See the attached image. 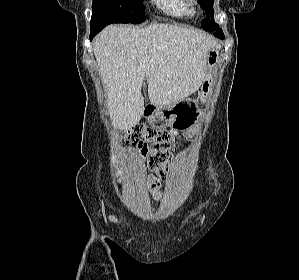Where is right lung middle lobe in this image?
Instances as JSON below:
<instances>
[{"instance_id": "right-lung-middle-lobe-1", "label": "right lung middle lobe", "mask_w": 299, "mask_h": 280, "mask_svg": "<svg viewBox=\"0 0 299 280\" xmlns=\"http://www.w3.org/2000/svg\"><path fill=\"white\" fill-rule=\"evenodd\" d=\"M92 8L111 11L123 19V23L139 24L145 20L143 0H93Z\"/></svg>"}]
</instances>
